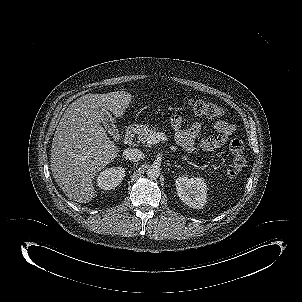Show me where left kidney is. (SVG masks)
Segmentation results:
<instances>
[{"mask_svg": "<svg viewBox=\"0 0 302 302\" xmlns=\"http://www.w3.org/2000/svg\"><path fill=\"white\" fill-rule=\"evenodd\" d=\"M176 191L181 201L194 209H201L207 199V185L202 177H179L175 181Z\"/></svg>", "mask_w": 302, "mask_h": 302, "instance_id": "5707ae66", "label": "left kidney"}]
</instances>
